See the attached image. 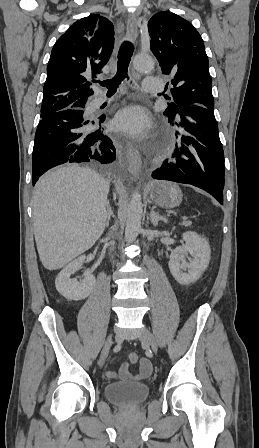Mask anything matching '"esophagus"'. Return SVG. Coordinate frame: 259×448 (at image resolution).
<instances>
[{
	"instance_id": "1",
	"label": "esophagus",
	"mask_w": 259,
	"mask_h": 448,
	"mask_svg": "<svg viewBox=\"0 0 259 448\" xmlns=\"http://www.w3.org/2000/svg\"><path fill=\"white\" fill-rule=\"evenodd\" d=\"M127 35L131 40H136L138 35L137 20L134 14L128 15L127 20ZM126 157L128 161V170L135 177L138 178L142 169V158L140 152L131 144H128L126 150Z\"/></svg>"
}]
</instances>
